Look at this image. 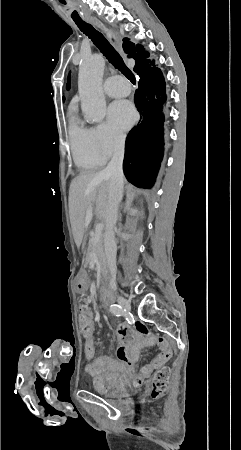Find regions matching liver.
<instances>
[{
    "mask_svg": "<svg viewBox=\"0 0 241 450\" xmlns=\"http://www.w3.org/2000/svg\"><path fill=\"white\" fill-rule=\"evenodd\" d=\"M110 178L102 172H81L71 182L69 210L72 232L77 248H80L93 212L104 224L109 218Z\"/></svg>",
    "mask_w": 241,
    "mask_h": 450,
    "instance_id": "liver-1",
    "label": "liver"
}]
</instances>
